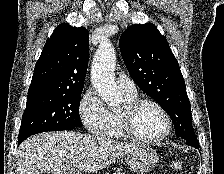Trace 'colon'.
Instances as JSON below:
<instances>
[{
  "label": "colon",
  "instance_id": "5ec220e1",
  "mask_svg": "<svg viewBox=\"0 0 224 174\" xmlns=\"http://www.w3.org/2000/svg\"><path fill=\"white\" fill-rule=\"evenodd\" d=\"M170 169L173 172H180L183 169V162L179 159H173L170 162Z\"/></svg>",
  "mask_w": 224,
  "mask_h": 174
}]
</instances>
